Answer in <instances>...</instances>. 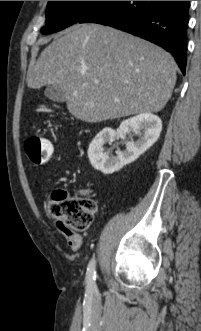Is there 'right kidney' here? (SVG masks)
<instances>
[{
    "mask_svg": "<svg viewBox=\"0 0 201 331\" xmlns=\"http://www.w3.org/2000/svg\"><path fill=\"white\" fill-rule=\"evenodd\" d=\"M161 130V119L151 113H142L123 121L117 131L106 127L90 143L89 161L96 170L104 174L117 172L147 151L158 140ZM129 131L138 133L139 139L127 141L125 150H117L115 156L110 155L105 145L111 144L118 134L125 135Z\"/></svg>",
    "mask_w": 201,
    "mask_h": 331,
    "instance_id": "right-kidney-1",
    "label": "right kidney"
}]
</instances>
